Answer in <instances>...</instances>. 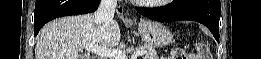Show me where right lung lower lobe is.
Masks as SVG:
<instances>
[{"instance_id": "right-lung-lower-lobe-1", "label": "right lung lower lobe", "mask_w": 261, "mask_h": 59, "mask_svg": "<svg viewBox=\"0 0 261 59\" xmlns=\"http://www.w3.org/2000/svg\"><path fill=\"white\" fill-rule=\"evenodd\" d=\"M99 0H36L34 36L52 19L90 13L98 8Z\"/></svg>"}]
</instances>
